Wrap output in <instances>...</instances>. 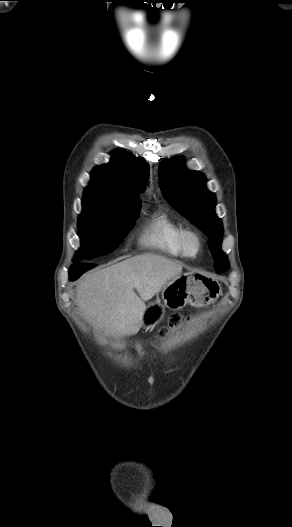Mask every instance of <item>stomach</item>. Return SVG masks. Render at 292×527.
Listing matches in <instances>:
<instances>
[{"mask_svg": "<svg viewBox=\"0 0 292 527\" xmlns=\"http://www.w3.org/2000/svg\"><path fill=\"white\" fill-rule=\"evenodd\" d=\"M221 293L220 284L208 276L189 272L168 281L162 288V299L150 303L145 310L143 326L152 328L165 314V307L182 309L186 304L203 307L213 303Z\"/></svg>", "mask_w": 292, "mask_h": 527, "instance_id": "stomach-1", "label": "stomach"}]
</instances>
